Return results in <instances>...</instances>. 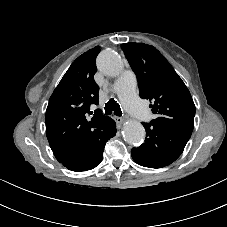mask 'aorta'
Here are the masks:
<instances>
[{
	"instance_id": "obj_1",
	"label": "aorta",
	"mask_w": 227,
	"mask_h": 227,
	"mask_svg": "<svg viewBox=\"0 0 227 227\" xmlns=\"http://www.w3.org/2000/svg\"><path fill=\"white\" fill-rule=\"evenodd\" d=\"M97 67L105 75L119 76L124 69L121 57L112 50H104L97 57ZM145 129L138 121H128L123 127V137L131 145H139L145 138Z\"/></svg>"
}]
</instances>
